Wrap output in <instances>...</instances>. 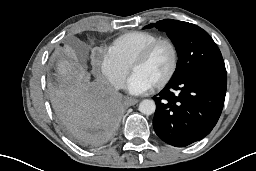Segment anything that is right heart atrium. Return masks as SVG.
I'll return each instance as SVG.
<instances>
[{
    "instance_id": "obj_1",
    "label": "right heart atrium",
    "mask_w": 256,
    "mask_h": 171,
    "mask_svg": "<svg viewBox=\"0 0 256 171\" xmlns=\"http://www.w3.org/2000/svg\"><path fill=\"white\" fill-rule=\"evenodd\" d=\"M91 63L113 89L118 90L123 86L128 74V67L108 51L94 52Z\"/></svg>"
}]
</instances>
